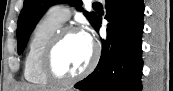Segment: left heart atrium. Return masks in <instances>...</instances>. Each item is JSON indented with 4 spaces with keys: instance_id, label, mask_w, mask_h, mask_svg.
I'll return each mask as SVG.
<instances>
[{
    "instance_id": "obj_1",
    "label": "left heart atrium",
    "mask_w": 173,
    "mask_h": 91,
    "mask_svg": "<svg viewBox=\"0 0 173 91\" xmlns=\"http://www.w3.org/2000/svg\"><path fill=\"white\" fill-rule=\"evenodd\" d=\"M83 35H84L85 39H86L89 43H91V36H90V34L87 33V32H84Z\"/></svg>"
}]
</instances>
